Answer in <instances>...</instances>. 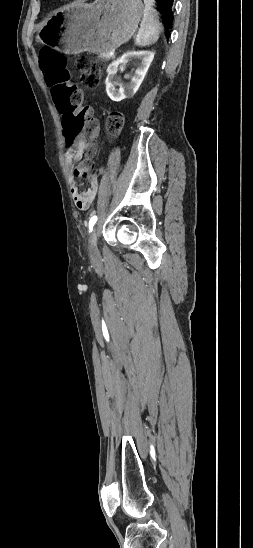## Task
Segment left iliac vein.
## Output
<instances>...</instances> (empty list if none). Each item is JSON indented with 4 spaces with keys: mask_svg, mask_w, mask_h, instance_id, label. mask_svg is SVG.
<instances>
[{
    "mask_svg": "<svg viewBox=\"0 0 253 548\" xmlns=\"http://www.w3.org/2000/svg\"><path fill=\"white\" fill-rule=\"evenodd\" d=\"M88 248H89L90 257L92 259L97 258L99 255V250L97 247V229L96 228L94 229V231L91 233L89 237Z\"/></svg>",
    "mask_w": 253,
    "mask_h": 548,
    "instance_id": "obj_1",
    "label": "left iliac vein"
}]
</instances>
